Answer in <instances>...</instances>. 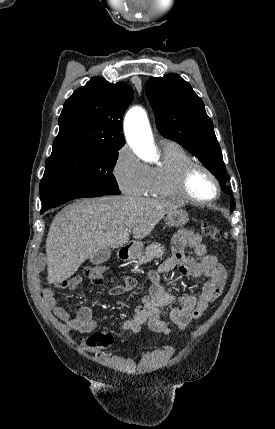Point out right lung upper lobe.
Segmentation results:
<instances>
[{
    "label": "right lung upper lobe",
    "mask_w": 275,
    "mask_h": 429,
    "mask_svg": "<svg viewBox=\"0 0 275 429\" xmlns=\"http://www.w3.org/2000/svg\"><path fill=\"white\" fill-rule=\"evenodd\" d=\"M133 98L126 83L93 77L65 101L53 150L120 149L123 114Z\"/></svg>",
    "instance_id": "1"
}]
</instances>
